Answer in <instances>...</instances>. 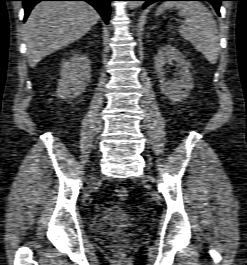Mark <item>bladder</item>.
Listing matches in <instances>:
<instances>
[{
	"label": "bladder",
	"instance_id": "bladder-1",
	"mask_svg": "<svg viewBox=\"0 0 247 265\" xmlns=\"http://www.w3.org/2000/svg\"><path fill=\"white\" fill-rule=\"evenodd\" d=\"M135 220L131 213L116 208L108 209L99 221L97 230L101 234L116 233L132 225Z\"/></svg>",
	"mask_w": 247,
	"mask_h": 265
}]
</instances>
